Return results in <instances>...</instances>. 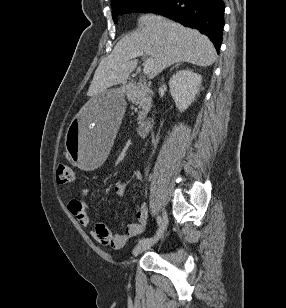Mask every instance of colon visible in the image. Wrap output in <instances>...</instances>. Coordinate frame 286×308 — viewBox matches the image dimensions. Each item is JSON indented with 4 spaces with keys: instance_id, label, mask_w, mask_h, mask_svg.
I'll return each mask as SVG.
<instances>
[{
    "instance_id": "obj_1",
    "label": "colon",
    "mask_w": 286,
    "mask_h": 308,
    "mask_svg": "<svg viewBox=\"0 0 286 308\" xmlns=\"http://www.w3.org/2000/svg\"><path fill=\"white\" fill-rule=\"evenodd\" d=\"M56 181L61 185H72L76 181V174L73 167L60 164L56 168Z\"/></svg>"
}]
</instances>
